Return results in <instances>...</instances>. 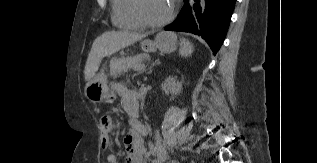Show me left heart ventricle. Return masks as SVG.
<instances>
[{
	"mask_svg": "<svg viewBox=\"0 0 317 163\" xmlns=\"http://www.w3.org/2000/svg\"><path fill=\"white\" fill-rule=\"evenodd\" d=\"M172 3L173 0H144L145 14L151 21H161L169 15Z\"/></svg>",
	"mask_w": 317,
	"mask_h": 163,
	"instance_id": "1",
	"label": "left heart ventricle"
}]
</instances>
